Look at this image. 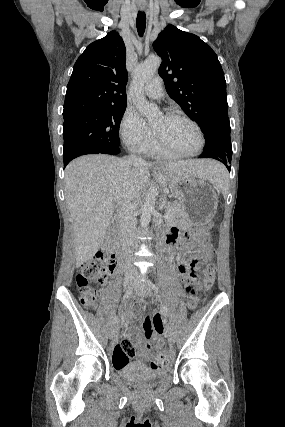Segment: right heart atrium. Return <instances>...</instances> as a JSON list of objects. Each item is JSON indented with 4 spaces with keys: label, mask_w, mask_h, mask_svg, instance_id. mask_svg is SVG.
<instances>
[{
    "label": "right heart atrium",
    "mask_w": 285,
    "mask_h": 427,
    "mask_svg": "<svg viewBox=\"0 0 285 427\" xmlns=\"http://www.w3.org/2000/svg\"><path fill=\"white\" fill-rule=\"evenodd\" d=\"M120 133L126 146L139 153H143L155 140L152 128L132 109L124 113Z\"/></svg>",
    "instance_id": "obj_1"
}]
</instances>
